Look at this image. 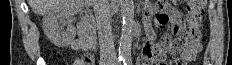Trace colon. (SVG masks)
I'll return each instance as SVG.
<instances>
[{"instance_id":"5ec220e1","label":"colon","mask_w":232,"mask_h":65,"mask_svg":"<svg viewBox=\"0 0 232 65\" xmlns=\"http://www.w3.org/2000/svg\"><path fill=\"white\" fill-rule=\"evenodd\" d=\"M176 0H159L157 2L161 11L168 10ZM206 0H189L187 3V23L183 42L164 40L158 45L156 57L161 62H171L177 65H188L195 62L201 50L202 21L205 14ZM171 56L166 57V52Z\"/></svg>"}]
</instances>
